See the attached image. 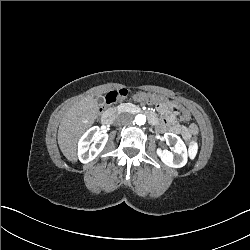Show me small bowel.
<instances>
[{
  "mask_svg": "<svg viewBox=\"0 0 250 250\" xmlns=\"http://www.w3.org/2000/svg\"><path fill=\"white\" fill-rule=\"evenodd\" d=\"M135 97L137 98V95ZM139 100H142V99H139ZM165 109L168 112L175 113L181 120H188L190 118L189 112L187 110H185V109H183L175 104H172L170 102L166 103ZM148 118L152 122L157 123L158 125L166 124L167 126L172 128L176 132H181L183 130L182 126H180L178 123L169 122V121L164 122L163 120L159 121L158 118L156 116H154L153 114H149ZM187 133L189 135L197 133V127L194 124H191L189 126V128L187 129Z\"/></svg>",
  "mask_w": 250,
  "mask_h": 250,
  "instance_id": "1",
  "label": "small bowel"
}]
</instances>
